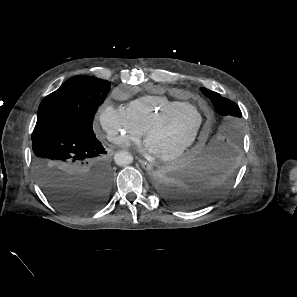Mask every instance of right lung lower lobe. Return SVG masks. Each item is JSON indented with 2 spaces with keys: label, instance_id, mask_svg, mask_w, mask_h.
Returning <instances> with one entry per match:
<instances>
[{
  "label": "right lung lower lobe",
  "instance_id": "98d812e1",
  "mask_svg": "<svg viewBox=\"0 0 297 297\" xmlns=\"http://www.w3.org/2000/svg\"><path fill=\"white\" fill-rule=\"evenodd\" d=\"M39 184L61 211L85 214L107 201L113 174L94 135L64 128L31 137Z\"/></svg>",
  "mask_w": 297,
  "mask_h": 297
}]
</instances>
